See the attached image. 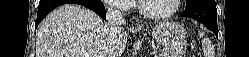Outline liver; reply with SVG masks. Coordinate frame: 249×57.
Segmentation results:
<instances>
[{
	"instance_id": "1",
	"label": "liver",
	"mask_w": 249,
	"mask_h": 57,
	"mask_svg": "<svg viewBox=\"0 0 249 57\" xmlns=\"http://www.w3.org/2000/svg\"><path fill=\"white\" fill-rule=\"evenodd\" d=\"M128 34L116 32L95 12L76 4H64L53 10L39 25L36 57H120ZM142 41L133 44L139 51Z\"/></svg>"
}]
</instances>
